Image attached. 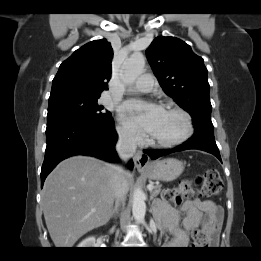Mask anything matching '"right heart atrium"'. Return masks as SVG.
I'll use <instances>...</instances> for the list:
<instances>
[{"label":"right heart atrium","mask_w":261,"mask_h":261,"mask_svg":"<svg viewBox=\"0 0 261 261\" xmlns=\"http://www.w3.org/2000/svg\"><path fill=\"white\" fill-rule=\"evenodd\" d=\"M117 132L120 139L127 144H135L140 140V135L138 132L131 126L124 123L121 118H119Z\"/></svg>","instance_id":"1"}]
</instances>
